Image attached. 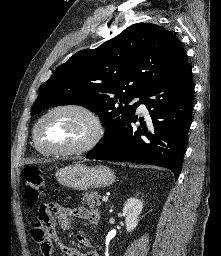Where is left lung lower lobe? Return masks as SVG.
I'll use <instances>...</instances> for the list:
<instances>
[{
    "label": "left lung lower lobe",
    "mask_w": 221,
    "mask_h": 256,
    "mask_svg": "<svg viewBox=\"0 0 221 256\" xmlns=\"http://www.w3.org/2000/svg\"><path fill=\"white\" fill-rule=\"evenodd\" d=\"M194 85L188 63L155 85L141 100L151 118L133 131L134 115L105 133L86 158L144 163L170 169L178 178L191 125Z\"/></svg>",
    "instance_id": "0a47b994"
}]
</instances>
